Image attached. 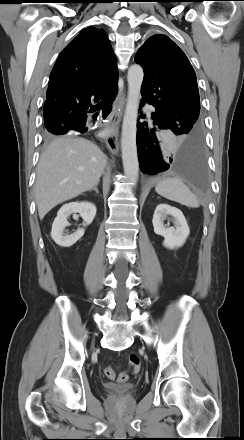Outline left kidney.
Wrapping results in <instances>:
<instances>
[{
    "instance_id": "1",
    "label": "left kidney",
    "mask_w": 244,
    "mask_h": 440,
    "mask_svg": "<svg viewBox=\"0 0 244 440\" xmlns=\"http://www.w3.org/2000/svg\"><path fill=\"white\" fill-rule=\"evenodd\" d=\"M168 215L174 219V227H165L164 220ZM154 232L164 237L163 246L168 249H175L183 246L190 233L187 221L183 213L167 204H159L152 219Z\"/></svg>"
}]
</instances>
